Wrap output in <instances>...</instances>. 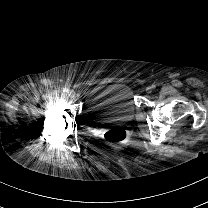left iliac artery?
I'll use <instances>...</instances> for the list:
<instances>
[{
    "label": "left iliac artery",
    "instance_id": "44dca946",
    "mask_svg": "<svg viewBox=\"0 0 208 208\" xmlns=\"http://www.w3.org/2000/svg\"><path fill=\"white\" fill-rule=\"evenodd\" d=\"M152 88H153V89H155V88H156V86H155V85H152Z\"/></svg>",
    "mask_w": 208,
    "mask_h": 208
}]
</instances>
